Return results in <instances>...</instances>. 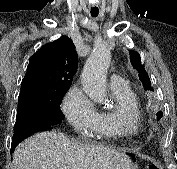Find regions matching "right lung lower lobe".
Instances as JSON below:
<instances>
[{"label":"right lung lower lobe","instance_id":"98d812e1","mask_svg":"<svg viewBox=\"0 0 177 169\" xmlns=\"http://www.w3.org/2000/svg\"><path fill=\"white\" fill-rule=\"evenodd\" d=\"M52 127L53 125L45 121H41L33 118H26L20 121H16L14 135L11 144V152L21 141L26 139L32 133L51 129Z\"/></svg>","mask_w":177,"mask_h":169}]
</instances>
